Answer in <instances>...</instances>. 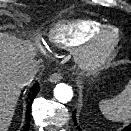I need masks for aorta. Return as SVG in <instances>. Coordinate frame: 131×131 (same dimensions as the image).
Listing matches in <instances>:
<instances>
[{
  "label": "aorta",
  "mask_w": 131,
  "mask_h": 131,
  "mask_svg": "<svg viewBox=\"0 0 131 131\" xmlns=\"http://www.w3.org/2000/svg\"><path fill=\"white\" fill-rule=\"evenodd\" d=\"M54 97L61 103H67L73 97L72 88L67 84L59 83L54 88Z\"/></svg>",
  "instance_id": "762f6f07"
}]
</instances>
